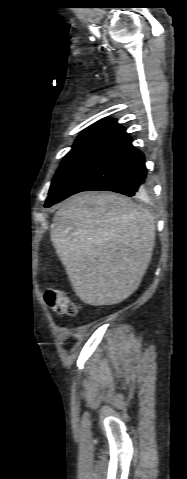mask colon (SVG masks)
<instances>
[{
    "instance_id": "colon-1",
    "label": "colon",
    "mask_w": 187,
    "mask_h": 479,
    "mask_svg": "<svg viewBox=\"0 0 187 479\" xmlns=\"http://www.w3.org/2000/svg\"><path fill=\"white\" fill-rule=\"evenodd\" d=\"M45 303L55 312L66 316H75L79 312V305L63 291L55 288L42 289Z\"/></svg>"
}]
</instances>
